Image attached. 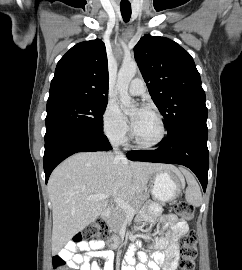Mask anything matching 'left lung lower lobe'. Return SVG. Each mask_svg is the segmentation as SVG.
I'll return each instance as SVG.
<instances>
[{
  "label": "left lung lower lobe",
  "instance_id": "1",
  "mask_svg": "<svg viewBox=\"0 0 242 270\" xmlns=\"http://www.w3.org/2000/svg\"><path fill=\"white\" fill-rule=\"evenodd\" d=\"M206 122H191L164 138L156 150H137L127 153L132 161L180 164L190 168L198 177L205 192L209 168Z\"/></svg>",
  "mask_w": 242,
  "mask_h": 270
}]
</instances>
